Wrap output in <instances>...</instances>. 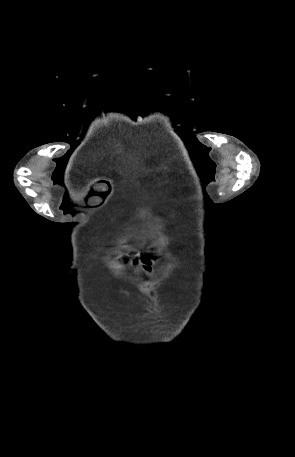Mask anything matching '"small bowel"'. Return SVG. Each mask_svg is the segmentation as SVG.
<instances>
[{"label": "small bowel", "mask_w": 295, "mask_h": 457, "mask_svg": "<svg viewBox=\"0 0 295 457\" xmlns=\"http://www.w3.org/2000/svg\"><path fill=\"white\" fill-rule=\"evenodd\" d=\"M154 256L149 255L140 260V269L144 273H149L153 267Z\"/></svg>", "instance_id": "c3829d8e"}]
</instances>
